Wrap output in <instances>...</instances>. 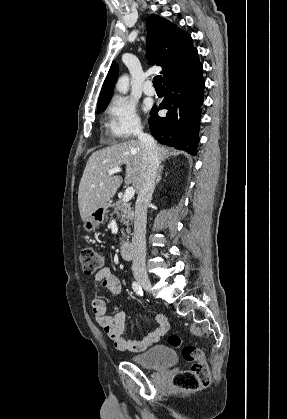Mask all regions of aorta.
Listing matches in <instances>:
<instances>
[{"label": "aorta", "instance_id": "1", "mask_svg": "<svg viewBox=\"0 0 287 419\" xmlns=\"http://www.w3.org/2000/svg\"><path fill=\"white\" fill-rule=\"evenodd\" d=\"M116 89L122 94H126L128 92L129 77L127 75H123L118 79L116 83Z\"/></svg>", "mask_w": 287, "mask_h": 419}]
</instances>
